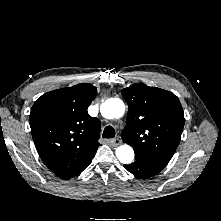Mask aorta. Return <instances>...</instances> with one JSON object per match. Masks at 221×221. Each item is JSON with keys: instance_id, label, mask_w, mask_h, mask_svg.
I'll list each match as a JSON object with an SVG mask.
<instances>
[{"instance_id": "obj_1", "label": "aorta", "mask_w": 221, "mask_h": 221, "mask_svg": "<svg viewBox=\"0 0 221 221\" xmlns=\"http://www.w3.org/2000/svg\"><path fill=\"white\" fill-rule=\"evenodd\" d=\"M100 112L107 119H117L124 115L125 106L121 99L110 98L101 104ZM116 156L123 164H130L134 159V150L125 144L116 149Z\"/></svg>"}]
</instances>
